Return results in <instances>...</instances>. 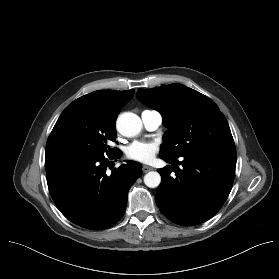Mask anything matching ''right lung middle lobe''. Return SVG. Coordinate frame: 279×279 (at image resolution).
<instances>
[{"label": "right lung middle lobe", "mask_w": 279, "mask_h": 279, "mask_svg": "<svg viewBox=\"0 0 279 279\" xmlns=\"http://www.w3.org/2000/svg\"><path fill=\"white\" fill-rule=\"evenodd\" d=\"M115 140L114 123L102 120L84 103L74 101L56 122L47 140L45 159L109 155L118 150H109L108 143Z\"/></svg>", "instance_id": "dd1d6c3e"}]
</instances>
